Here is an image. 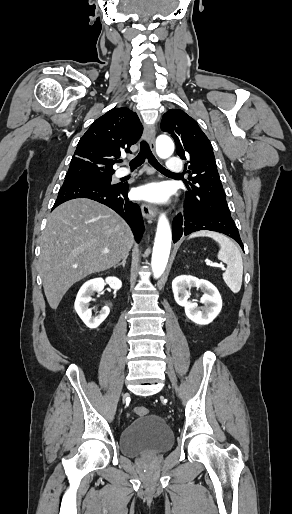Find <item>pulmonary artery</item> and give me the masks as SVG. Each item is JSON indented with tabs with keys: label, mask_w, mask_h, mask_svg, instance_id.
Here are the masks:
<instances>
[{
	"label": "pulmonary artery",
	"mask_w": 292,
	"mask_h": 514,
	"mask_svg": "<svg viewBox=\"0 0 292 514\" xmlns=\"http://www.w3.org/2000/svg\"><path fill=\"white\" fill-rule=\"evenodd\" d=\"M167 169L169 172H182L184 170V163L182 161H178L175 156H170L167 159ZM127 172L124 169H120L117 172V176L123 177L126 176Z\"/></svg>",
	"instance_id": "pulmonary-artery-1"
}]
</instances>
